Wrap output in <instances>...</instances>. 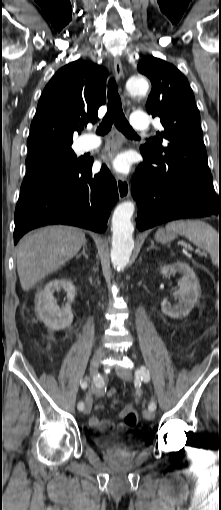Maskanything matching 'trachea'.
<instances>
[{
    "mask_svg": "<svg viewBox=\"0 0 221 510\" xmlns=\"http://www.w3.org/2000/svg\"><path fill=\"white\" fill-rule=\"evenodd\" d=\"M113 123L124 134L129 136L137 135L124 116L121 99L117 91V83L114 78H111L108 82L107 113L97 128V134H107L110 131Z\"/></svg>",
    "mask_w": 221,
    "mask_h": 510,
    "instance_id": "trachea-1",
    "label": "trachea"
}]
</instances>
